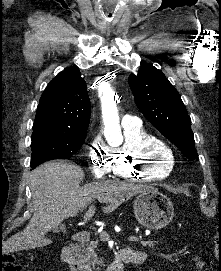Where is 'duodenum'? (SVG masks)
Wrapping results in <instances>:
<instances>
[{"label": "duodenum", "mask_w": 221, "mask_h": 271, "mask_svg": "<svg viewBox=\"0 0 221 271\" xmlns=\"http://www.w3.org/2000/svg\"><path fill=\"white\" fill-rule=\"evenodd\" d=\"M89 239V233L86 231L77 232L72 241L62 250V259L65 261L71 271H89V269L78 258V251L82 244ZM145 261V255L137 254L128 248L120 249L114 259L107 266L105 271H123L125 263L142 264Z\"/></svg>", "instance_id": "410a0bca"}]
</instances>
